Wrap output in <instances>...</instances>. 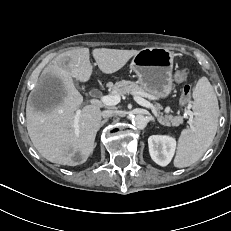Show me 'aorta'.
I'll list each match as a JSON object with an SVG mask.
<instances>
[{
    "label": "aorta",
    "mask_w": 231,
    "mask_h": 231,
    "mask_svg": "<svg viewBox=\"0 0 231 231\" xmlns=\"http://www.w3.org/2000/svg\"><path fill=\"white\" fill-rule=\"evenodd\" d=\"M133 125L138 129H144L147 125V119L141 114L135 115L132 119Z\"/></svg>",
    "instance_id": "obj_1"
}]
</instances>
